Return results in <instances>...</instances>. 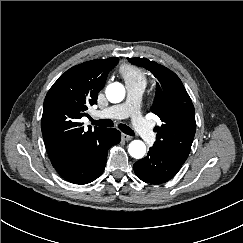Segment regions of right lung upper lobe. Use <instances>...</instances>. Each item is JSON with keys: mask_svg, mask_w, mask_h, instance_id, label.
<instances>
[{"mask_svg": "<svg viewBox=\"0 0 243 243\" xmlns=\"http://www.w3.org/2000/svg\"><path fill=\"white\" fill-rule=\"evenodd\" d=\"M118 58L96 59L67 70L48 91L41 119L47 153L82 150L95 141L105 128L84 130L79 122L87 105L97 103V94L104 87L108 73Z\"/></svg>", "mask_w": 243, "mask_h": 243, "instance_id": "cb5924a9", "label": "right lung upper lobe"}]
</instances>
